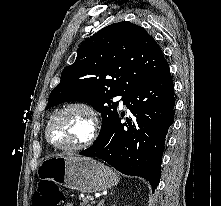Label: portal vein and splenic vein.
Instances as JSON below:
<instances>
[{
    "instance_id": "18ae733b",
    "label": "portal vein and splenic vein",
    "mask_w": 221,
    "mask_h": 206,
    "mask_svg": "<svg viewBox=\"0 0 221 206\" xmlns=\"http://www.w3.org/2000/svg\"><path fill=\"white\" fill-rule=\"evenodd\" d=\"M87 199H88V200H93L94 198H93V197H87Z\"/></svg>"
}]
</instances>
